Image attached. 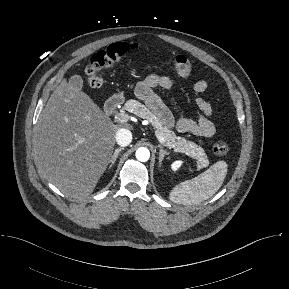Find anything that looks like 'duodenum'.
<instances>
[{
	"mask_svg": "<svg viewBox=\"0 0 289 289\" xmlns=\"http://www.w3.org/2000/svg\"><path fill=\"white\" fill-rule=\"evenodd\" d=\"M122 104V98L120 96H112L105 102V112L108 115L113 114L118 107Z\"/></svg>",
	"mask_w": 289,
	"mask_h": 289,
	"instance_id": "obj_1",
	"label": "duodenum"
}]
</instances>
